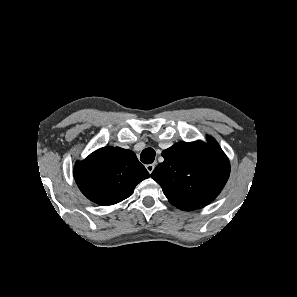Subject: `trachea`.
Listing matches in <instances>:
<instances>
[{
    "label": "trachea",
    "mask_w": 297,
    "mask_h": 297,
    "mask_svg": "<svg viewBox=\"0 0 297 297\" xmlns=\"http://www.w3.org/2000/svg\"><path fill=\"white\" fill-rule=\"evenodd\" d=\"M155 159V151L152 148H146L142 151L140 155V160L144 164H151Z\"/></svg>",
    "instance_id": "1"
}]
</instances>
